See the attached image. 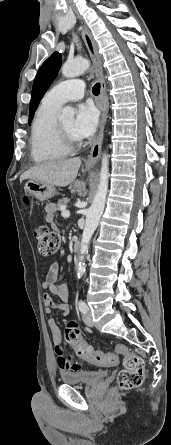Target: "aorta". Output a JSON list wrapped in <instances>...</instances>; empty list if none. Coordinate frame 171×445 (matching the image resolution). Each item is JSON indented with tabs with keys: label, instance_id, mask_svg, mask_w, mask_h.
<instances>
[{
	"label": "aorta",
	"instance_id": "aorta-1",
	"mask_svg": "<svg viewBox=\"0 0 171 445\" xmlns=\"http://www.w3.org/2000/svg\"><path fill=\"white\" fill-rule=\"evenodd\" d=\"M90 66V62L84 58H77L66 62L62 66V74L66 78H73L84 73ZM74 109L65 107L60 114L61 120H68L74 118ZM109 182V160L105 153L102 157L99 185L94 196L93 202L86 214L85 227L82 234L80 256L77 263V277L80 278L85 273L84 257L88 253L91 238L98 227L100 218L103 214L106 197L108 192Z\"/></svg>",
	"mask_w": 171,
	"mask_h": 445
}]
</instances>
